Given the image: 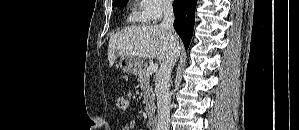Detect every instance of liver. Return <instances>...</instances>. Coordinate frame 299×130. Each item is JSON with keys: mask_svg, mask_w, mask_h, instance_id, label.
<instances>
[{"mask_svg": "<svg viewBox=\"0 0 299 130\" xmlns=\"http://www.w3.org/2000/svg\"><path fill=\"white\" fill-rule=\"evenodd\" d=\"M170 50L168 31L160 25L130 26L111 36L108 61L113 66L121 55L164 61Z\"/></svg>", "mask_w": 299, "mask_h": 130, "instance_id": "obj_1", "label": "liver"}]
</instances>
